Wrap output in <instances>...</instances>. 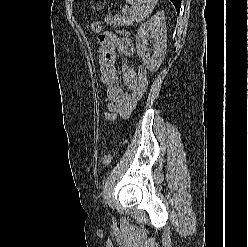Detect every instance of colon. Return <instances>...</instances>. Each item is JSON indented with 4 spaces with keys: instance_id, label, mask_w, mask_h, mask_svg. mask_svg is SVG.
<instances>
[{
    "instance_id": "colon-1",
    "label": "colon",
    "mask_w": 248,
    "mask_h": 247,
    "mask_svg": "<svg viewBox=\"0 0 248 247\" xmlns=\"http://www.w3.org/2000/svg\"><path fill=\"white\" fill-rule=\"evenodd\" d=\"M91 30L94 33H100L102 30V25L98 21L91 23ZM147 86V70L143 65L138 66L137 69V81H136V91L138 93H143Z\"/></svg>"
}]
</instances>
